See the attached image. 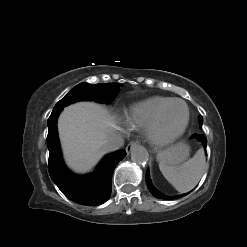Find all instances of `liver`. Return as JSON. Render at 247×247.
Instances as JSON below:
<instances>
[{"instance_id":"obj_1","label":"liver","mask_w":247,"mask_h":247,"mask_svg":"<svg viewBox=\"0 0 247 247\" xmlns=\"http://www.w3.org/2000/svg\"><path fill=\"white\" fill-rule=\"evenodd\" d=\"M120 127L108 110L94 102L66 107L58 119L59 137L66 164L76 173H87L108 152L106 143Z\"/></svg>"}]
</instances>
